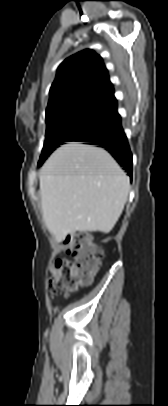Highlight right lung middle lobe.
I'll use <instances>...</instances> for the list:
<instances>
[{
	"instance_id": "dd1d6c3e",
	"label": "right lung middle lobe",
	"mask_w": 168,
	"mask_h": 406,
	"mask_svg": "<svg viewBox=\"0 0 168 406\" xmlns=\"http://www.w3.org/2000/svg\"><path fill=\"white\" fill-rule=\"evenodd\" d=\"M114 118L112 107L102 104L74 105L46 114L47 130L38 166L60 145L98 130Z\"/></svg>"
}]
</instances>
